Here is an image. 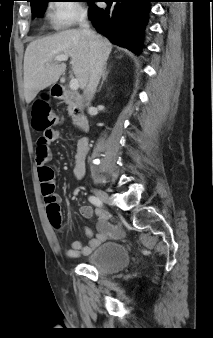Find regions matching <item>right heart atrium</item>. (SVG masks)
Masks as SVG:
<instances>
[{
	"label": "right heart atrium",
	"mask_w": 213,
	"mask_h": 338,
	"mask_svg": "<svg viewBox=\"0 0 213 338\" xmlns=\"http://www.w3.org/2000/svg\"><path fill=\"white\" fill-rule=\"evenodd\" d=\"M83 17L82 9L71 3H59L51 9V21L56 27L70 26Z\"/></svg>",
	"instance_id": "d8ad5b80"
}]
</instances>
